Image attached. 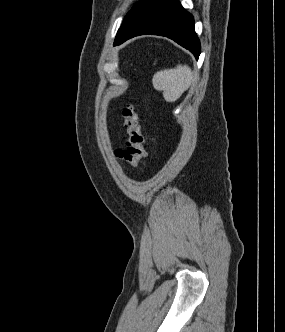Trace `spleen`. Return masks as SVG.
<instances>
[{
  "label": "spleen",
  "instance_id": "3e777b00",
  "mask_svg": "<svg viewBox=\"0 0 285 332\" xmlns=\"http://www.w3.org/2000/svg\"><path fill=\"white\" fill-rule=\"evenodd\" d=\"M193 73L187 65L165 69L154 74L152 83L156 90L163 91L167 102H175L190 87Z\"/></svg>",
  "mask_w": 285,
  "mask_h": 332
}]
</instances>
